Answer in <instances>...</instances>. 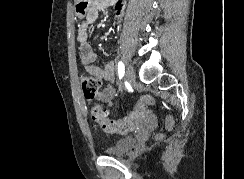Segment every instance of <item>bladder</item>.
<instances>
[{"label": "bladder", "instance_id": "1", "mask_svg": "<svg viewBox=\"0 0 244 179\" xmlns=\"http://www.w3.org/2000/svg\"><path fill=\"white\" fill-rule=\"evenodd\" d=\"M136 141V136L124 137L119 139L113 147H109L105 151L110 157H123L132 151Z\"/></svg>", "mask_w": 244, "mask_h": 179}]
</instances>
